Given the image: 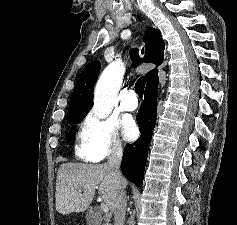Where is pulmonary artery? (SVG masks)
Instances as JSON below:
<instances>
[{
    "label": "pulmonary artery",
    "instance_id": "obj_1",
    "mask_svg": "<svg viewBox=\"0 0 237 225\" xmlns=\"http://www.w3.org/2000/svg\"><path fill=\"white\" fill-rule=\"evenodd\" d=\"M122 106L126 111H135L137 109L138 100L133 90L126 92L122 101Z\"/></svg>",
    "mask_w": 237,
    "mask_h": 225
}]
</instances>
